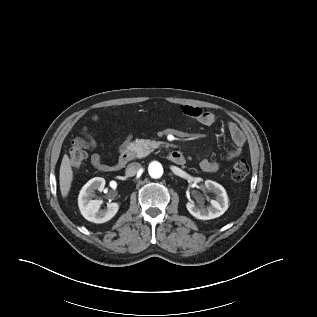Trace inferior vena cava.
Returning a JSON list of instances; mask_svg holds the SVG:
<instances>
[{
	"label": "inferior vena cava",
	"instance_id": "inferior-vena-cava-1",
	"mask_svg": "<svg viewBox=\"0 0 317 317\" xmlns=\"http://www.w3.org/2000/svg\"><path fill=\"white\" fill-rule=\"evenodd\" d=\"M140 169H141V164L138 162H133L128 164L125 173L127 176L132 177L136 175Z\"/></svg>",
	"mask_w": 317,
	"mask_h": 317
}]
</instances>
